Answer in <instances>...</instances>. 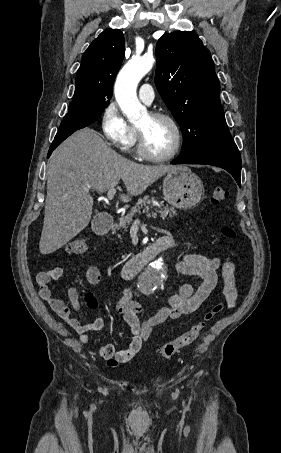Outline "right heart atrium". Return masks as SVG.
<instances>
[{
  "mask_svg": "<svg viewBox=\"0 0 281 453\" xmlns=\"http://www.w3.org/2000/svg\"><path fill=\"white\" fill-rule=\"evenodd\" d=\"M115 93L117 96L127 100L130 94V85L127 80L120 83H115ZM118 102V101H117ZM101 129L106 138L111 141L114 145L120 146L126 140L130 126L125 120L124 116L120 112L115 102L109 103L102 111L101 114ZM113 164L116 168H119L121 163V157L115 152L109 154Z\"/></svg>",
  "mask_w": 281,
  "mask_h": 453,
  "instance_id": "d8ad5b80",
  "label": "right heart atrium"
}]
</instances>
